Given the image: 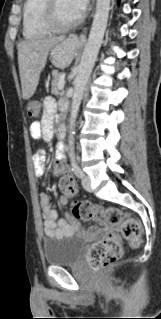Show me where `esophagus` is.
I'll return each mask as SVG.
<instances>
[{
  "mask_svg": "<svg viewBox=\"0 0 161 319\" xmlns=\"http://www.w3.org/2000/svg\"><path fill=\"white\" fill-rule=\"evenodd\" d=\"M85 39H86V38H85V36H84V35H80V36H79V40H81V41H85Z\"/></svg>",
  "mask_w": 161,
  "mask_h": 319,
  "instance_id": "obj_1",
  "label": "esophagus"
}]
</instances>
